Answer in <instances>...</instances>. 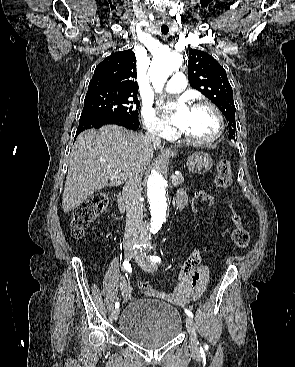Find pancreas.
<instances>
[{"label": "pancreas", "mask_w": 295, "mask_h": 367, "mask_svg": "<svg viewBox=\"0 0 295 367\" xmlns=\"http://www.w3.org/2000/svg\"><path fill=\"white\" fill-rule=\"evenodd\" d=\"M184 182V178L181 174L175 175V178L172 179L173 186H178Z\"/></svg>", "instance_id": "obj_1"}]
</instances>
